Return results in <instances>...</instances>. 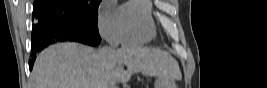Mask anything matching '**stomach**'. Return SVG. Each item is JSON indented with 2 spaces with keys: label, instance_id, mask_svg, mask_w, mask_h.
<instances>
[{
  "label": "stomach",
  "instance_id": "stomach-1",
  "mask_svg": "<svg viewBox=\"0 0 267 88\" xmlns=\"http://www.w3.org/2000/svg\"><path fill=\"white\" fill-rule=\"evenodd\" d=\"M154 88H176L173 81L166 77L158 76V79L154 83Z\"/></svg>",
  "mask_w": 267,
  "mask_h": 88
}]
</instances>
